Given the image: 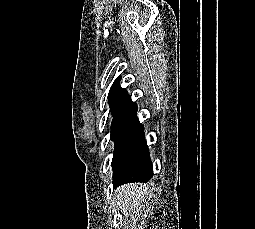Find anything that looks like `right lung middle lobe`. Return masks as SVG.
Instances as JSON below:
<instances>
[{
    "mask_svg": "<svg viewBox=\"0 0 255 229\" xmlns=\"http://www.w3.org/2000/svg\"><path fill=\"white\" fill-rule=\"evenodd\" d=\"M111 139L115 142L114 175L127 173L133 165L147 167L151 162L143 130L129 117L122 116L112 121Z\"/></svg>",
    "mask_w": 255,
    "mask_h": 229,
    "instance_id": "obj_1",
    "label": "right lung middle lobe"
}]
</instances>
